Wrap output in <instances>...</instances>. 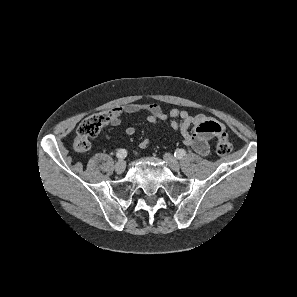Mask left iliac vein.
<instances>
[{
    "label": "left iliac vein",
    "instance_id": "obj_1",
    "mask_svg": "<svg viewBox=\"0 0 297 297\" xmlns=\"http://www.w3.org/2000/svg\"><path fill=\"white\" fill-rule=\"evenodd\" d=\"M163 158L173 171H179L180 165L174 156L169 153H165Z\"/></svg>",
    "mask_w": 297,
    "mask_h": 297
}]
</instances>
